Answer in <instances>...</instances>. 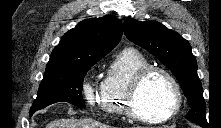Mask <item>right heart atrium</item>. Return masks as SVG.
Instances as JSON below:
<instances>
[{
    "label": "right heart atrium",
    "mask_w": 221,
    "mask_h": 128,
    "mask_svg": "<svg viewBox=\"0 0 221 128\" xmlns=\"http://www.w3.org/2000/svg\"><path fill=\"white\" fill-rule=\"evenodd\" d=\"M96 92H97L96 84L91 80L85 81V83L83 85V93H84L86 99L88 100V102H90V103L94 102Z\"/></svg>",
    "instance_id": "obj_1"
}]
</instances>
